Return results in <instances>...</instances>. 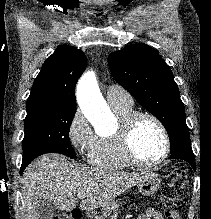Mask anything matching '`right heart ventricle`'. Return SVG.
Here are the masks:
<instances>
[{
    "label": "right heart ventricle",
    "instance_id": "obj_1",
    "mask_svg": "<svg viewBox=\"0 0 211 219\" xmlns=\"http://www.w3.org/2000/svg\"><path fill=\"white\" fill-rule=\"evenodd\" d=\"M120 124L129 116L133 110V105H110ZM88 161L96 167L105 169H125L131 164L124 158L118 138V131L106 136H97L96 141L88 153Z\"/></svg>",
    "mask_w": 211,
    "mask_h": 219
}]
</instances>
